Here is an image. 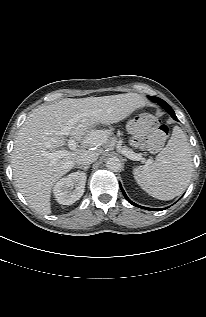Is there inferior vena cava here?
Wrapping results in <instances>:
<instances>
[{"label":"inferior vena cava","mask_w":206,"mask_h":317,"mask_svg":"<svg viewBox=\"0 0 206 317\" xmlns=\"http://www.w3.org/2000/svg\"><path fill=\"white\" fill-rule=\"evenodd\" d=\"M97 158H98L97 154L93 152H87L78 157V159L76 160V164L78 166H87L95 162Z\"/></svg>","instance_id":"602c4592"}]
</instances>
